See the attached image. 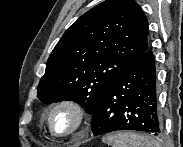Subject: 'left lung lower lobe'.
<instances>
[{
    "instance_id": "0a47b994",
    "label": "left lung lower lobe",
    "mask_w": 183,
    "mask_h": 147,
    "mask_svg": "<svg viewBox=\"0 0 183 147\" xmlns=\"http://www.w3.org/2000/svg\"><path fill=\"white\" fill-rule=\"evenodd\" d=\"M91 126L94 135L117 130L161 133L152 51L141 54L107 88L92 114Z\"/></svg>"
}]
</instances>
